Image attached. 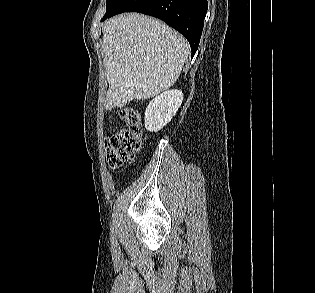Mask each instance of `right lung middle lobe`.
Wrapping results in <instances>:
<instances>
[{
	"instance_id": "dd1d6c3e",
	"label": "right lung middle lobe",
	"mask_w": 315,
	"mask_h": 293,
	"mask_svg": "<svg viewBox=\"0 0 315 293\" xmlns=\"http://www.w3.org/2000/svg\"><path fill=\"white\" fill-rule=\"evenodd\" d=\"M111 1L112 0H106V10H107L108 6L110 5Z\"/></svg>"
}]
</instances>
